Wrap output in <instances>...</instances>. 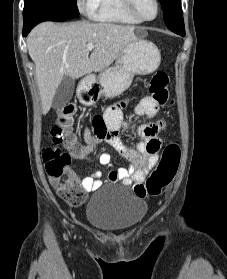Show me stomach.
Masks as SVG:
<instances>
[{
    "instance_id": "obj_1",
    "label": "stomach",
    "mask_w": 227,
    "mask_h": 279,
    "mask_svg": "<svg viewBox=\"0 0 227 279\" xmlns=\"http://www.w3.org/2000/svg\"><path fill=\"white\" fill-rule=\"evenodd\" d=\"M136 32V39L122 49L114 66L105 69L97 78L80 82L77 96L82 104L94 105L101 96L117 97L129 88L135 75L149 74L158 68L160 50L145 39L143 30Z\"/></svg>"
}]
</instances>
